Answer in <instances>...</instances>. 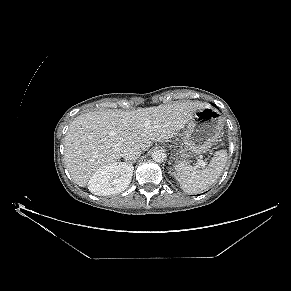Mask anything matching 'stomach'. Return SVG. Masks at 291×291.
Listing matches in <instances>:
<instances>
[{"label":"stomach","instance_id":"stomach-1","mask_svg":"<svg viewBox=\"0 0 291 291\" xmlns=\"http://www.w3.org/2000/svg\"><path fill=\"white\" fill-rule=\"evenodd\" d=\"M222 131L223 120L219 111L210 106L199 109L184 130L181 157L187 158L193 154L209 151L221 137Z\"/></svg>","mask_w":291,"mask_h":291}]
</instances>
